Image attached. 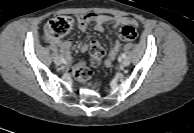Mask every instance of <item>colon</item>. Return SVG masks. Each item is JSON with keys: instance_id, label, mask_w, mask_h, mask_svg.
Segmentation results:
<instances>
[{"instance_id": "5ec220e1", "label": "colon", "mask_w": 194, "mask_h": 133, "mask_svg": "<svg viewBox=\"0 0 194 133\" xmlns=\"http://www.w3.org/2000/svg\"><path fill=\"white\" fill-rule=\"evenodd\" d=\"M71 25L72 20L67 16L53 18L45 24V36L48 39H57L62 37L69 31ZM120 37L124 41H134L137 37V31L132 26H125L120 32ZM90 53V66L96 68L102 61L104 50L99 44H94L90 48ZM73 74L79 81H85L93 74V72L85 63H79L74 67Z\"/></svg>"}]
</instances>
